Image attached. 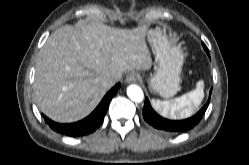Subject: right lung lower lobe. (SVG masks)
<instances>
[{"mask_svg":"<svg viewBox=\"0 0 249 165\" xmlns=\"http://www.w3.org/2000/svg\"><path fill=\"white\" fill-rule=\"evenodd\" d=\"M120 88V83L116 84L102 99L96 109L85 119L71 123V124H59L53 122L49 118L43 115L46 123L56 132L67 136H82L95 131L103 121L108 105L112 97L116 94Z\"/></svg>","mask_w":249,"mask_h":165,"instance_id":"right-lung-lower-lobe-1","label":"right lung lower lobe"}]
</instances>
